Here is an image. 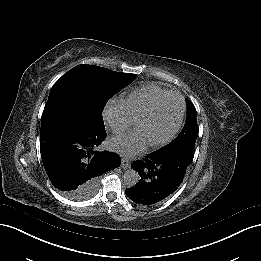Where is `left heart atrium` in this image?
Segmentation results:
<instances>
[{
  "label": "left heart atrium",
  "mask_w": 261,
  "mask_h": 261,
  "mask_svg": "<svg viewBox=\"0 0 261 261\" xmlns=\"http://www.w3.org/2000/svg\"><path fill=\"white\" fill-rule=\"evenodd\" d=\"M113 149L125 157H138L142 154L144 143L137 134H122L112 139Z\"/></svg>",
  "instance_id": "39dd6f15"
}]
</instances>
